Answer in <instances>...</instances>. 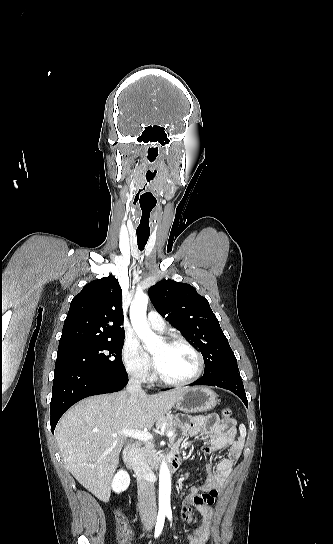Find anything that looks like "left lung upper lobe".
<instances>
[{
  "label": "left lung upper lobe",
  "mask_w": 333,
  "mask_h": 544,
  "mask_svg": "<svg viewBox=\"0 0 333 544\" xmlns=\"http://www.w3.org/2000/svg\"><path fill=\"white\" fill-rule=\"evenodd\" d=\"M155 309L201 351L204 375L223 369L238 370L237 359L205 297L186 283L162 280L149 289Z\"/></svg>",
  "instance_id": "left-lung-upper-lobe-1"
}]
</instances>
